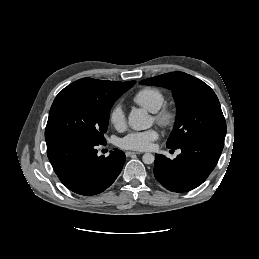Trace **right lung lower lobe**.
Masks as SVG:
<instances>
[{
	"label": "right lung lower lobe",
	"instance_id": "98d812e1",
	"mask_svg": "<svg viewBox=\"0 0 259 259\" xmlns=\"http://www.w3.org/2000/svg\"><path fill=\"white\" fill-rule=\"evenodd\" d=\"M99 145L81 140L47 143L49 161L60 181L71 191L85 196L101 193L121 172L124 152L114 149L106 158L97 156Z\"/></svg>",
	"mask_w": 259,
	"mask_h": 259
}]
</instances>
